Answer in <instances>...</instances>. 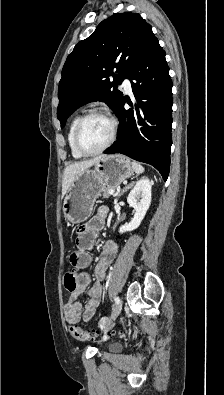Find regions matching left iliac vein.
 Instances as JSON below:
<instances>
[{
	"mask_svg": "<svg viewBox=\"0 0 224 395\" xmlns=\"http://www.w3.org/2000/svg\"><path fill=\"white\" fill-rule=\"evenodd\" d=\"M122 306H123V301L120 298L119 302L117 304H115V306L113 308V312H112L110 319L105 322V326L111 325L112 322L118 317L119 313L121 312Z\"/></svg>",
	"mask_w": 224,
	"mask_h": 395,
	"instance_id": "4c4485c4",
	"label": "left iliac vein"
}]
</instances>
